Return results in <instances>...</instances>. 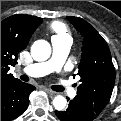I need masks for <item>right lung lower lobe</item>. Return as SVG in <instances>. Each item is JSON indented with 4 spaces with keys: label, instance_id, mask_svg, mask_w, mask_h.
<instances>
[{
    "label": "right lung lower lobe",
    "instance_id": "right-lung-lower-lobe-1",
    "mask_svg": "<svg viewBox=\"0 0 121 121\" xmlns=\"http://www.w3.org/2000/svg\"><path fill=\"white\" fill-rule=\"evenodd\" d=\"M36 88L21 81L1 87V120H13L24 113L29 104V95Z\"/></svg>",
    "mask_w": 121,
    "mask_h": 121
}]
</instances>
